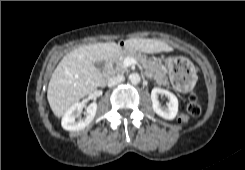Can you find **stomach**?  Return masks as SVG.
Returning <instances> with one entry per match:
<instances>
[{
	"mask_svg": "<svg viewBox=\"0 0 245 170\" xmlns=\"http://www.w3.org/2000/svg\"><path fill=\"white\" fill-rule=\"evenodd\" d=\"M164 62L167 66V68L169 69V72L173 75L174 74V67L176 68H180L184 63L185 60L182 57H167L164 59ZM190 75L192 78V82H193V76H194V72L192 70V66L190 65ZM192 82L189 83L188 88L192 87ZM181 87L185 90H187V85H181Z\"/></svg>",
	"mask_w": 245,
	"mask_h": 170,
	"instance_id": "obj_1",
	"label": "stomach"
}]
</instances>
